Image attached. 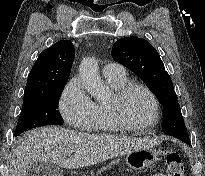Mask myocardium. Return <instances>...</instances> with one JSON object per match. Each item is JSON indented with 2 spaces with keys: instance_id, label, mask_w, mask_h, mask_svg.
I'll return each mask as SVG.
<instances>
[{
  "instance_id": "f54148a6",
  "label": "myocardium",
  "mask_w": 205,
  "mask_h": 176,
  "mask_svg": "<svg viewBox=\"0 0 205 176\" xmlns=\"http://www.w3.org/2000/svg\"><path fill=\"white\" fill-rule=\"evenodd\" d=\"M136 90L145 92L153 105L152 118L145 123H134L130 121L124 108L127 97ZM111 112L120 130H143L155 126L160 118V103L155 93L146 85L141 83H127L124 87L116 91L111 102Z\"/></svg>"
}]
</instances>
